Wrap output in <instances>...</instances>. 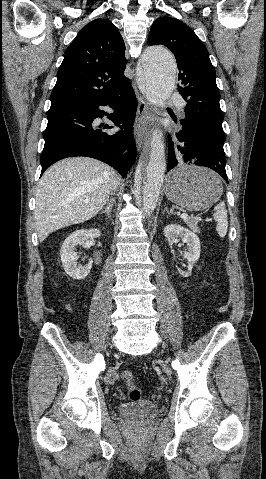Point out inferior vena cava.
<instances>
[{"label":"inferior vena cava","instance_id":"1","mask_svg":"<svg viewBox=\"0 0 266 479\" xmlns=\"http://www.w3.org/2000/svg\"><path fill=\"white\" fill-rule=\"evenodd\" d=\"M118 179L115 181L114 185H113V190H116V188L118 187Z\"/></svg>","mask_w":266,"mask_h":479}]
</instances>
